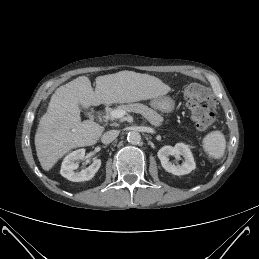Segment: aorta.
I'll list each match as a JSON object with an SVG mask.
<instances>
[{
  "mask_svg": "<svg viewBox=\"0 0 259 259\" xmlns=\"http://www.w3.org/2000/svg\"><path fill=\"white\" fill-rule=\"evenodd\" d=\"M127 140L132 145H137L141 142V135L136 131H131L127 135Z\"/></svg>",
  "mask_w": 259,
  "mask_h": 259,
  "instance_id": "1",
  "label": "aorta"
}]
</instances>
